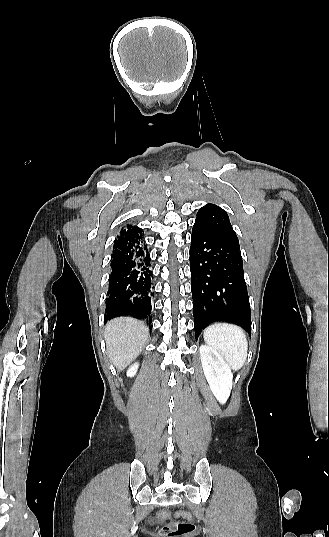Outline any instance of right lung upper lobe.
I'll use <instances>...</instances> for the list:
<instances>
[{
    "label": "right lung upper lobe",
    "instance_id": "obj_1",
    "mask_svg": "<svg viewBox=\"0 0 329 537\" xmlns=\"http://www.w3.org/2000/svg\"><path fill=\"white\" fill-rule=\"evenodd\" d=\"M139 231H140L139 228L128 225L127 229H123V228L121 229L120 234L117 236V239L127 237Z\"/></svg>",
    "mask_w": 329,
    "mask_h": 537
}]
</instances>
